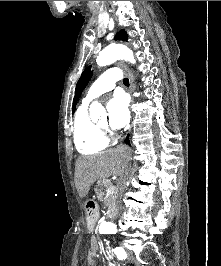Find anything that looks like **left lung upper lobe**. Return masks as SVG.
<instances>
[{
	"mask_svg": "<svg viewBox=\"0 0 221 266\" xmlns=\"http://www.w3.org/2000/svg\"><path fill=\"white\" fill-rule=\"evenodd\" d=\"M127 34L124 30H121L119 33L116 34L115 39L119 40H127ZM90 66L84 70V72L81 74V77L79 81L77 82L76 89H75V96L73 101V112L75 111V107L77 104V101L79 100V97L82 94V91L87 86L88 82L90 81L93 72L90 70Z\"/></svg>",
	"mask_w": 221,
	"mask_h": 266,
	"instance_id": "1",
	"label": "left lung upper lobe"
}]
</instances>
